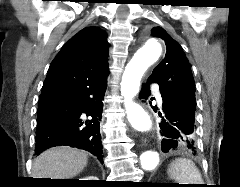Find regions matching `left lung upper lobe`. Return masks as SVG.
<instances>
[{
	"label": "left lung upper lobe",
	"mask_w": 240,
	"mask_h": 187,
	"mask_svg": "<svg viewBox=\"0 0 240 187\" xmlns=\"http://www.w3.org/2000/svg\"><path fill=\"white\" fill-rule=\"evenodd\" d=\"M151 33L152 36L164 40L166 54L154 68L149 79L158 83L160 90L196 105L191 66L181 46L162 27L152 28Z\"/></svg>",
	"instance_id": "5c2ea615"
}]
</instances>
